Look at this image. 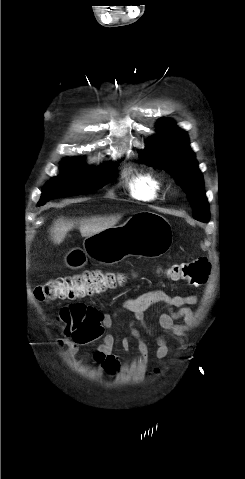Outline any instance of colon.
Instances as JSON below:
<instances>
[{
	"label": "colon",
	"instance_id": "5ec220e1",
	"mask_svg": "<svg viewBox=\"0 0 245 479\" xmlns=\"http://www.w3.org/2000/svg\"><path fill=\"white\" fill-rule=\"evenodd\" d=\"M211 266L207 258L199 257L177 263L167 269V275L175 281H184L190 285H203L208 281ZM125 277L122 273L102 269L84 270L79 273L50 279L34 289L39 301L57 299H81L92 297L122 285ZM88 316V307L75 303L63 308L59 320L64 325L63 333L77 340L83 332Z\"/></svg>",
	"mask_w": 245,
	"mask_h": 479
}]
</instances>
